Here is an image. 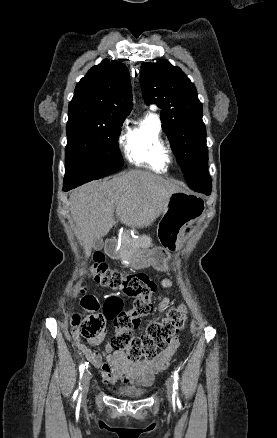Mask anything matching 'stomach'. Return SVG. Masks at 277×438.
<instances>
[{"label":"stomach","instance_id":"1","mask_svg":"<svg viewBox=\"0 0 277 438\" xmlns=\"http://www.w3.org/2000/svg\"><path fill=\"white\" fill-rule=\"evenodd\" d=\"M204 211L205 204L198 195L185 190L173 193L157 226L161 247L139 251L132 258L131 266H152L157 270H167L171 253L181 248L185 226L198 220Z\"/></svg>","mask_w":277,"mask_h":438}]
</instances>
